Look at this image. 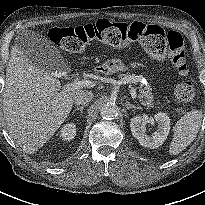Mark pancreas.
Here are the masks:
<instances>
[{
    "instance_id": "cf45deb5",
    "label": "pancreas",
    "mask_w": 205,
    "mask_h": 205,
    "mask_svg": "<svg viewBox=\"0 0 205 205\" xmlns=\"http://www.w3.org/2000/svg\"><path fill=\"white\" fill-rule=\"evenodd\" d=\"M108 62V61H107ZM107 62L104 65H107ZM139 76L134 75H125L124 79L127 82H135L136 79H138ZM139 101L141 105L146 106L147 108H155V104L153 103V95L151 92H148L146 89L141 90V95H139Z\"/></svg>"
}]
</instances>
